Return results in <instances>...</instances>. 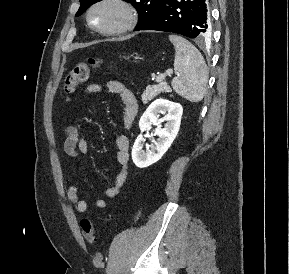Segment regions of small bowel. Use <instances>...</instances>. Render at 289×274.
Wrapping results in <instances>:
<instances>
[{"label": "small bowel", "mask_w": 289, "mask_h": 274, "mask_svg": "<svg viewBox=\"0 0 289 274\" xmlns=\"http://www.w3.org/2000/svg\"><path fill=\"white\" fill-rule=\"evenodd\" d=\"M107 90L117 94L124 105L123 125L126 129L130 128L138 112V103L134 93L122 82L108 81L104 85L92 83L86 88L87 94L99 93ZM64 152L71 159H77L80 155H86L90 152L89 143L80 137L79 130L74 125H69L64 130ZM116 153L119 164V171L111 186L103 192L106 198L117 196L123 188L128 177L129 163V139L125 134H121L116 139ZM68 199L75 205L79 213H85L88 210V201L79 198V188L76 185L69 187L67 191ZM95 207L104 209L108 207L105 199L98 198L94 201Z\"/></svg>", "instance_id": "obj_1"}]
</instances>
